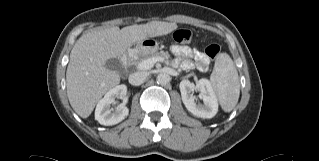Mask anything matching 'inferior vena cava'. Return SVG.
I'll list each match as a JSON object with an SVG mask.
<instances>
[{
  "label": "inferior vena cava",
  "instance_id": "602c4592",
  "mask_svg": "<svg viewBox=\"0 0 319 161\" xmlns=\"http://www.w3.org/2000/svg\"><path fill=\"white\" fill-rule=\"evenodd\" d=\"M147 76H148V74L146 72H142V71L132 73L129 75V78H128L129 83L131 85L138 86L146 80Z\"/></svg>",
  "mask_w": 319,
  "mask_h": 161
}]
</instances>
